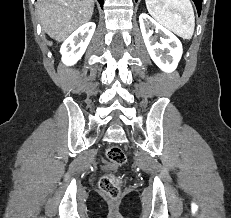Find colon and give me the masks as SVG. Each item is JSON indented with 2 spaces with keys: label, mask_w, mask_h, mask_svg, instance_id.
I'll use <instances>...</instances> for the list:
<instances>
[{
  "label": "colon",
  "mask_w": 231,
  "mask_h": 218,
  "mask_svg": "<svg viewBox=\"0 0 231 218\" xmlns=\"http://www.w3.org/2000/svg\"><path fill=\"white\" fill-rule=\"evenodd\" d=\"M108 160L116 166H121L126 161L123 150L118 146H111L106 150ZM122 179L112 174L101 177L99 187L101 191L111 199H117L121 195Z\"/></svg>",
  "instance_id": "obj_1"
}]
</instances>
